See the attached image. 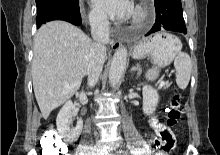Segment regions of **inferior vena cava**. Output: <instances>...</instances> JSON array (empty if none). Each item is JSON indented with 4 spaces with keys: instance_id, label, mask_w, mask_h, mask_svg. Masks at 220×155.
Here are the masks:
<instances>
[{
    "instance_id": "obj_1",
    "label": "inferior vena cava",
    "mask_w": 220,
    "mask_h": 155,
    "mask_svg": "<svg viewBox=\"0 0 220 155\" xmlns=\"http://www.w3.org/2000/svg\"><path fill=\"white\" fill-rule=\"evenodd\" d=\"M91 34L94 43L88 55V86L94 87L103 69L106 59V47L109 42V22L107 16L102 13H94L89 17Z\"/></svg>"
}]
</instances>
